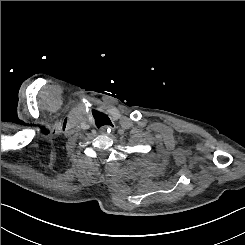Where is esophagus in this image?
Here are the masks:
<instances>
[{
	"label": "esophagus",
	"mask_w": 245,
	"mask_h": 245,
	"mask_svg": "<svg viewBox=\"0 0 245 245\" xmlns=\"http://www.w3.org/2000/svg\"><path fill=\"white\" fill-rule=\"evenodd\" d=\"M114 128L113 127H111V126H104V127H102L101 129H100V132L102 133V134H107V133H109L111 130H113Z\"/></svg>",
	"instance_id": "34e87169"
}]
</instances>
